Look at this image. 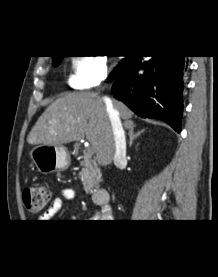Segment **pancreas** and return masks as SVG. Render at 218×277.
Segmentation results:
<instances>
[{"label": "pancreas", "mask_w": 218, "mask_h": 277, "mask_svg": "<svg viewBox=\"0 0 218 277\" xmlns=\"http://www.w3.org/2000/svg\"><path fill=\"white\" fill-rule=\"evenodd\" d=\"M82 171L80 172L82 184L86 193H92L101 181V172L95 161L90 156L85 155L80 162Z\"/></svg>", "instance_id": "obj_1"}]
</instances>
